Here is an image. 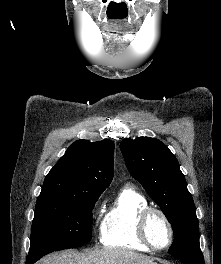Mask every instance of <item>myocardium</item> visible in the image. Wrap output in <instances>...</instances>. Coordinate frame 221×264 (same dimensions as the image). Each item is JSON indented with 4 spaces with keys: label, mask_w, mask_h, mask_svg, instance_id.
<instances>
[{
    "label": "myocardium",
    "mask_w": 221,
    "mask_h": 264,
    "mask_svg": "<svg viewBox=\"0 0 221 264\" xmlns=\"http://www.w3.org/2000/svg\"><path fill=\"white\" fill-rule=\"evenodd\" d=\"M158 214L166 223L168 230H169V241L164 246H156L150 239L149 233H148V223L151 215ZM137 234L141 242L146 245L149 249L154 251H162L167 248H169L173 241H174V228L173 225L168 218V216L165 214V212L159 208L153 207V206H147L143 208L137 218Z\"/></svg>",
    "instance_id": "f54148a6"
}]
</instances>
